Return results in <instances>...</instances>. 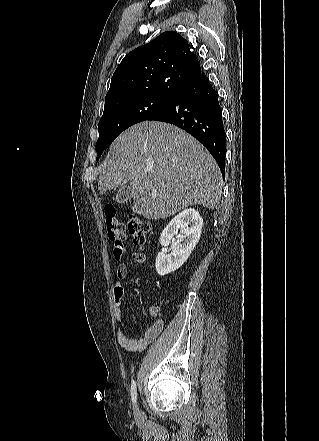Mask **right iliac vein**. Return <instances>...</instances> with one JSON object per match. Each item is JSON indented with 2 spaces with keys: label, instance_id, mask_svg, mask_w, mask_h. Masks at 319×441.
<instances>
[{
  "label": "right iliac vein",
  "instance_id": "obj_1",
  "mask_svg": "<svg viewBox=\"0 0 319 441\" xmlns=\"http://www.w3.org/2000/svg\"><path fill=\"white\" fill-rule=\"evenodd\" d=\"M135 414H136V415L139 414V408L137 407V405H136V407H135Z\"/></svg>",
  "mask_w": 319,
  "mask_h": 441
}]
</instances>
